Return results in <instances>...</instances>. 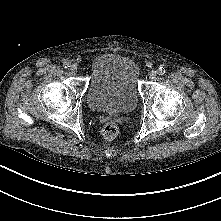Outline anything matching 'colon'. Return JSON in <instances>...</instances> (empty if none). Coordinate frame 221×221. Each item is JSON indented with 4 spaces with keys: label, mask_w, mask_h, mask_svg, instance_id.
Returning <instances> with one entry per match:
<instances>
[{
    "label": "colon",
    "mask_w": 221,
    "mask_h": 221,
    "mask_svg": "<svg viewBox=\"0 0 221 221\" xmlns=\"http://www.w3.org/2000/svg\"><path fill=\"white\" fill-rule=\"evenodd\" d=\"M119 128L114 122H107L102 128V135L108 140H112L117 137Z\"/></svg>",
    "instance_id": "obj_1"
}]
</instances>
